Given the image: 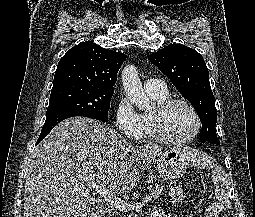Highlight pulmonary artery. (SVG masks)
<instances>
[{
  "label": "pulmonary artery",
  "mask_w": 255,
  "mask_h": 217,
  "mask_svg": "<svg viewBox=\"0 0 255 217\" xmlns=\"http://www.w3.org/2000/svg\"><path fill=\"white\" fill-rule=\"evenodd\" d=\"M144 88L146 91L156 92H162L167 90L165 82L160 79H148L144 84Z\"/></svg>",
  "instance_id": "obj_1"
}]
</instances>
